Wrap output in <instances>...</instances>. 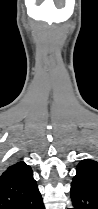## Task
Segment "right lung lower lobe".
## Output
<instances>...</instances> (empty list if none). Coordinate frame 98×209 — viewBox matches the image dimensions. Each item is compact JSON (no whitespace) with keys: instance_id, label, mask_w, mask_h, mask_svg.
<instances>
[{"instance_id":"98d812e1","label":"right lung lower lobe","mask_w":98,"mask_h":209,"mask_svg":"<svg viewBox=\"0 0 98 209\" xmlns=\"http://www.w3.org/2000/svg\"><path fill=\"white\" fill-rule=\"evenodd\" d=\"M11 209H45L38 188L19 203L11 207Z\"/></svg>"}]
</instances>
